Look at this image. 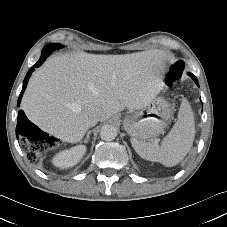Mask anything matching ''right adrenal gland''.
<instances>
[{
	"label": "right adrenal gland",
	"mask_w": 227,
	"mask_h": 227,
	"mask_svg": "<svg viewBox=\"0 0 227 227\" xmlns=\"http://www.w3.org/2000/svg\"><path fill=\"white\" fill-rule=\"evenodd\" d=\"M89 137H90V132L87 133L86 138L82 142L87 143L89 140Z\"/></svg>",
	"instance_id": "2a0ac1e0"
}]
</instances>
